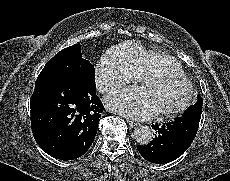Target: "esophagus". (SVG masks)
Here are the masks:
<instances>
[{"instance_id":"34e87169","label":"esophagus","mask_w":230,"mask_h":181,"mask_svg":"<svg viewBox=\"0 0 230 181\" xmlns=\"http://www.w3.org/2000/svg\"><path fill=\"white\" fill-rule=\"evenodd\" d=\"M125 119H126L127 123H128L131 127H135V126L138 125L137 122H135V121H133V120H131V119H129V118H125Z\"/></svg>"}]
</instances>
